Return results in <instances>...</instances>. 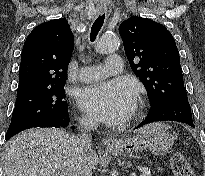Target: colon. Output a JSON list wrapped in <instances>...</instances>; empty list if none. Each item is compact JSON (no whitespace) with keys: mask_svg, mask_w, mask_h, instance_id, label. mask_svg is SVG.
I'll list each match as a JSON object with an SVG mask.
<instances>
[{"mask_svg":"<svg viewBox=\"0 0 205 176\" xmlns=\"http://www.w3.org/2000/svg\"><path fill=\"white\" fill-rule=\"evenodd\" d=\"M171 169L174 176H195L191 165L179 152L172 157Z\"/></svg>","mask_w":205,"mask_h":176,"instance_id":"colon-1","label":"colon"}]
</instances>
